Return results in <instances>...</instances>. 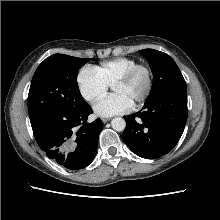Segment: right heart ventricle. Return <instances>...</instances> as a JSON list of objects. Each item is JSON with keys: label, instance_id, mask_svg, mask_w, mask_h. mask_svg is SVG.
Wrapping results in <instances>:
<instances>
[{"label": "right heart ventricle", "instance_id": "obj_1", "mask_svg": "<svg viewBox=\"0 0 220 220\" xmlns=\"http://www.w3.org/2000/svg\"><path fill=\"white\" fill-rule=\"evenodd\" d=\"M138 64V61L128 57H117L101 62L92 67L96 75L107 85L112 86L114 82L124 75L129 69Z\"/></svg>", "mask_w": 220, "mask_h": 220}]
</instances>
